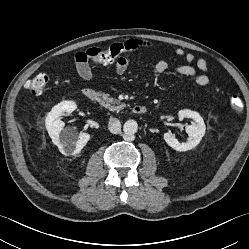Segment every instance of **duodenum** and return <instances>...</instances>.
<instances>
[{"instance_id":"duodenum-1","label":"duodenum","mask_w":249,"mask_h":249,"mask_svg":"<svg viewBox=\"0 0 249 249\" xmlns=\"http://www.w3.org/2000/svg\"><path fill=\"white\" fill-rule=\"evenodd\" d=\"M83 95L92 102H97L100 100V93L93 88H84ZM133 113L136 115H143L147 111V106L144 104H137L132 109Z\"/></svg>"}]
</instances>
